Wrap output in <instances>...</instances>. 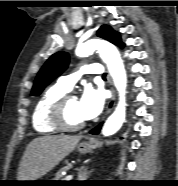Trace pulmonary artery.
<instances>
[{"mask_svg": "<svg viewBox=\"0 0 178 186\" xmlns=\"http://www.w3.org/2000/svg\"><path fill=\"white\" fill-rule=\"evenodd\" d=\"M102 73H103V67L101 65L86 64L82 66L78 72L61 77L58 81V84L65 90L69 91L72 89L73 85L82 74L100 75Z\"/></svg>", "mask_w": 178, "mask_h": 186, "instance_id": "1", "label": "pulmonary artery"}]
</instances>
